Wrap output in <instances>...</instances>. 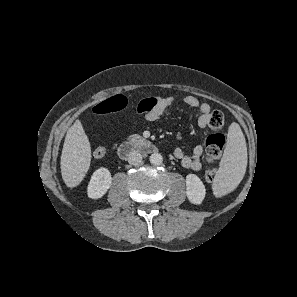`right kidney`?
Wrapping results in <instances>:
<instances>
[{
	"mask_svg": "<svg viewBox=\"0 0 297 297\" xmlns=\"http://www.w3.org/2000/svg\"><path fill=\"white\" fill-rule=\"evenodd\" d=\"M112 185L111 173L107 168L97 169L88 184V196L92 199L101 198Z\"/></svg>",
	"mask_w": 297,
	"mask_h": 297,
	"instance_id": "1",
	"label": "right kidney"
}]
</instances>
